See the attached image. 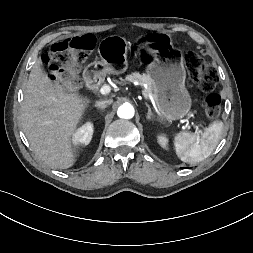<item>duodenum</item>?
Instances as JSON below:
<instances>
[{"label":"duodenum","instance_id":"1","mask_svg":"<svg viewBox=\"0 0 253 253\" xmlns=\"http://www.w3.org/2000/svg\"><path fill=\"white\" fill-rule=\"evenodd\" d=\"M87 85L91 89H95L98 85V79L92 73L88 74Z\"/></svg>","mask_w":253,"mask_h":253}]
</instances>
